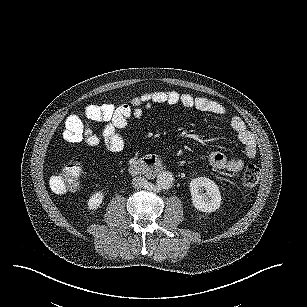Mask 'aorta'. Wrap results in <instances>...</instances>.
Instances as JSON below:
<instances>
[{
    "instance_id": "obj_1",
    "label": "aorta",
    "mask_w": 307,
    "mask_h": 307,
    "mask_svg": "<svg viewBox=\"0 0 307 307\" xmlns=\"http://www.w3.org/2000/svg\"><path fill=\"white\" fill-rule=\"evenodd\" d=\"M156 183L159 188L167 190L170 189L174 184V175L169 171H162L156 178Z\"/></svg>"
}]
</instances>
